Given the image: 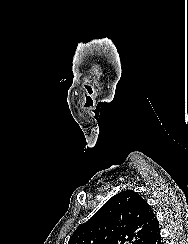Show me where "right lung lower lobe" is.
Segmentation results:
<instances>
[{
  "label": "right lung lower lobe",
  "instance_id": "obj_1",
  "mask_svg": "<svg viewBox=\"0 0 188 244\" xmlns=\"http://www.w3.org/2000/svg\"><path fill=\"white\" fill-rule=\"evenodd\" d=\"M146 244H162L159 227L153 231L152 235L150 236Z\"/></svg>",
  "mask_w": 188,
  "mask_h": 244
}]
</instances>
